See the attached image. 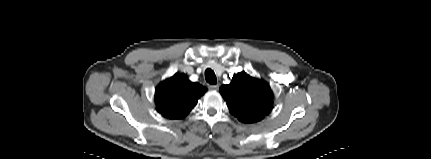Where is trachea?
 <instances>
[{
    "label": "trachea",
    "mask_w": 431,
    "mask_h": 159,
    "mask_svg": "<svg viewBox=\"0 0 431 159\" xmlns=\"http://www.w3.org/2000/svg\"><path fill=\"white\" fill-rule=\"evenodd\" d=\"M205 79L209 84L215 85L217 83V78L213 70H205Z\"/></svg>",
    "instance_id": "trachea-1"
}]
</instances>
